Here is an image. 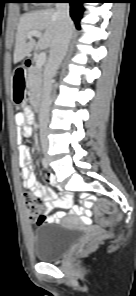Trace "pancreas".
<instances>
[{"label":"pancreas","instance_id":"1","mask_svg":"<svg viewBox=\"0 0 136 296\" xmlns=\"http://www.w3.org/2000/svg\"><path fill=\"white\" fill-rule=\"evenodd\" d=\"M27 86L31 91V99H37L42 90V69L37 66L28 68Z\"/></svg>","mask_w":136,"mask_h":296}]
</instances>
